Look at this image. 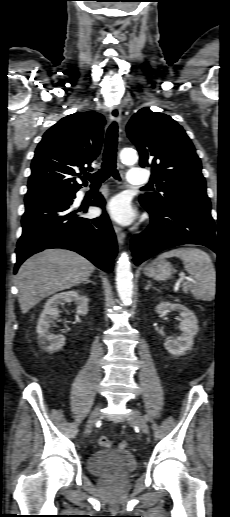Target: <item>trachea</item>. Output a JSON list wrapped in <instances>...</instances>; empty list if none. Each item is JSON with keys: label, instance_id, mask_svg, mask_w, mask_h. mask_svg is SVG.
I'll list each match as a JSON object with an SVG mask.
<instances>
[{"label": "trachea", "instance_id": "3493384b", "mask_svg": "<svg viewBox=\"0 0 230 517\" xmlns=\"http://www.w3.org/2000/svg\"><path fill=\"white\" fill-rule=\"evenodd\" d=\"M117 137V123L113 122L109 126L106 133L105 149L103 153V162L101 169L94 174L84 173V178L89 180L92 186L101 185L110 176H113L115 179H120V176L116 169ZM148 187L149 186H145L144 188Z\"/></svg>", "mask_w": 230, "mask_h": 517}]
</instances>
